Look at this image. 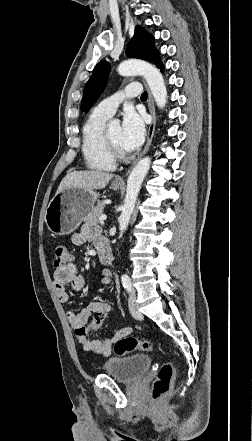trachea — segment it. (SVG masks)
<instances>
[{"instance_id":"1","label":"trachea","mask_w":252,"mask_h":441,"mask_svg":"<svg viewBox=\"0 0 252 441\" xmlns=\"http://www.w3.org/2000/svg\"><path fill=\"white\" fill-rule=\"evenodd\" d=\"M141 99H147V92H143L141 95Z\"/></svg>"}]
</instances>
